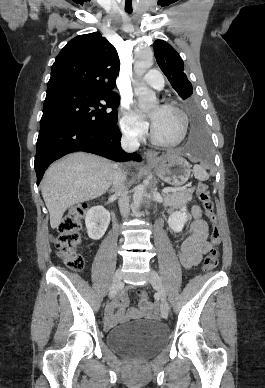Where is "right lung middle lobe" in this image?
I'll return each mask as SVG.
<instances>
[{
  "instance_id": "dd1d6c3e",
  "label": "right lung middle lobe",
  "mask_w": 265,
  "mask_h": 388,
  "mask_svg": "<svg viewBox=\"0 0 265 388\" xmlns=\"http://www.w3.org/2000/svg\"><path fill=\"white\" fill-rule=\"evenodd\" d=\"M120 97L111 90L68 91L47 95L40 129L60 123L90 124L106 129L117 126Z\"/></svg>"
}]
</instances>
